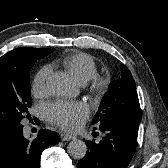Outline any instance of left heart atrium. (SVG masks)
<instances>
[{"mask_svg":"<svg viewBox=\"0 0 168 168\" xmlns=\"http://www.w3.org/2000/svg\"><path fill=\"white\" fill-rule=\"evenodd\" d=\"M47 119L68 131L81 128L89 116V109L82 102L60 101L50 104L46 110Z\"/></svg>","mask_w":168,"mask_h":168,"instance_id":"39dd6f15","label":"left heart atrium"}]
</instances>
